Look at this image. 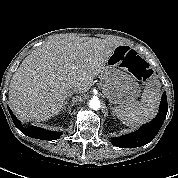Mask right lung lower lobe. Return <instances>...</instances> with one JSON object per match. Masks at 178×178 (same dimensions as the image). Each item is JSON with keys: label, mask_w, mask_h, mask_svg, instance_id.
<instances>
[{"label": "right lung lower lobe", "mask_w": 178, "mask_h": 178, "mask_svg": "<svg viewBox=\"0 0 178 178\" xmlns=\"http://www.w3.org/2000/svg\"><path fill=\"white\" fill-rule=\"evenodd\" d=\"M9 113L11 115V118L14 122V124L17 126V128L24 133L25 135L36 138V139H42V140H55L58 137H60V132L55 131H48L36 126H30L28 128H24L20 121L14 116L10 108L8 107Z\"/></svg>", "instance_id": "98d812e1"}]
</instances>
